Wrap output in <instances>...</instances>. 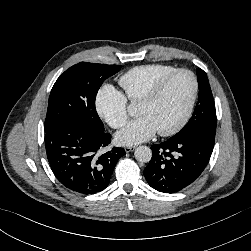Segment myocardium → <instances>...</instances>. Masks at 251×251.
I'll return each mask as SVG.
<instances>
[{"label": "myocardium", "mask_w": 251, "mask_h": 251, "mask_svg": "<svg viewBox=\"0 0 251 251\" xmlns=\"http://www.w3.org/2000/svg\"><path fill=\"white\" fill-rule=\"evenodd\" d=\"M179 74H187L193 83V90L192 95L189 101V104L187 106V109L180 119V121L174 125L172 128H169L167 130L157 131L158 135L162 137L172 136L176 133H178L180 130L184 128V126L188 123L189 119L191 118V115L194 111V107L198 98L199 93V82L196 77V75L188 70V69H177L174 72L170 73L166 77H164L162 80H160L140 101L141 104H150L153 103L155 100L158 99V97L162 94L164 89L167 87V85Z\"/></svg>", "instance_id": "f54148a6"}]
</instances>
